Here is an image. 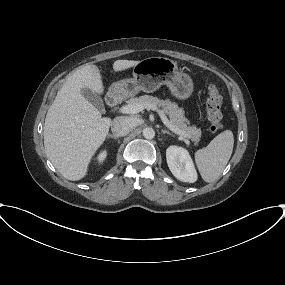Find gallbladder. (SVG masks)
<instances>
[{
  "mask_svg": "<svg viewBox=\"0 0 285 285\" xmlns=\"http://www.w3.org/2000/svg\"><path fill=\"white\" fill-rule=\"evenodd\" d=\"M81 93L87 100L99 108L101 112L104 111L103 101L94 91L88 88H83Z\"/></svg>",
  "mask_w": 285,
  "mask_h": 285,
  "instance_id": "bac80fb5",
  "label": "gallbladder"
}]
</instances>
